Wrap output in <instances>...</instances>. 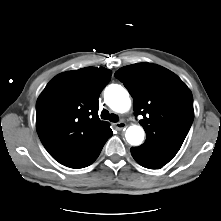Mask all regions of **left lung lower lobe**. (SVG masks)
Here are the masks:
<instances>
[{"instance_id":"0a47b994","label":"left lung lower lobe","mask_w":221,"mask_h":221,"mask_svg":"<svg viewBox=\"0 0 221 221\" xmlns=\"http://www.w3.org/2000/svg\"><path fill=\"white\" fill-rule=\"evenodd\" d=\"M131 154L137 163L149 169H160L175 156V154L147 142L139 147H132Z\"/></svg>"}]
</instances>
